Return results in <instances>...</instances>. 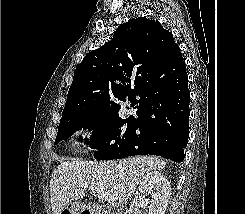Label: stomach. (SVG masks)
<instances>
[{
    "instance_id": "1",
    "label": "stomach",
    "mask_w": 245,
    "mask_h": 214,
    "mask_svg": "<svg viewBox=\"0 0 245 214\" xmlns=\"http://www.w3.org/2000/svg\"><path fill=\"white\" fill-rule=\"evenodd\" d=\"M66 210H68L70 214H81L83 211V206L80 203L74 202L69 204Z\"/></svg>"
}]
</instances>
